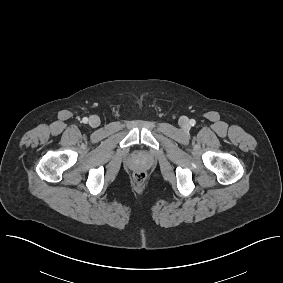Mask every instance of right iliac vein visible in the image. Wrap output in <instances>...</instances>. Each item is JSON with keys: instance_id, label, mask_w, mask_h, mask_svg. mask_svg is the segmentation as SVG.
Instances as JSON below:
<instances>
[{"instance_id": "63e3f726", "label": "right iliac vein", "mask_w": 283, "mask_h": 283, "mask_svg": "<svg viewBox=\"0 0 283 283\" xmlns=\"http://www.w3.org/2000/svg\"><path fill=\"white\" fill-rule=\"evenodd\" d=\"M89 125L92 127V128H96L100 125V119L98 116H91L89 118Z\"/></svg>"}]
</instances>
